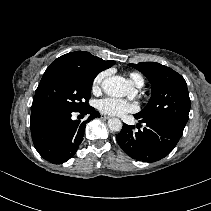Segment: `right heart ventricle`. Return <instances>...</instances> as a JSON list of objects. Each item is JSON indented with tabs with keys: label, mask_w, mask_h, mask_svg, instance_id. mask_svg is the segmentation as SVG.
Masks as SVG:
<instances>
[{
	"label": "right heart ventricle",
	"mask_w": 211,
	"mask_h": 211,
	"mask_svg": "<svg viewBox=\"0 0 211 211\" xmlns=\"http://www.w3.org/2000/svg\"><path fill=\"white\" fill-rule=\"evenodd\" d=\"M129 77L136 86L142 87L144 85V78L139 73L132 72Z\"/></svg>",
	"instance_id": "1"
}]
</instances>
